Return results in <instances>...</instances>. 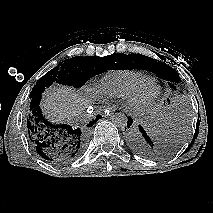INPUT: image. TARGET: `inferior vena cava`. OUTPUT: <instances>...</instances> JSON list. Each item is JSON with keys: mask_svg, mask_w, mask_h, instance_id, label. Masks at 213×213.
Segmentation results:
<instances>
[{"mask_svg": "<svg viewBox=\"0 0 213 213\" xmlns=\"http://www.w3.org/2000/svg\"><path fill=\"white\" fill-rule=\"evenodd\" d=\"M83 116L85 117H91L92 115L88 112V113H85V114H82Z\"/></svg>", "mask_w": 213, "mask_h": 213, "instance_id": "602c4592", "label": "inferior vena cava"}]
</instances>
